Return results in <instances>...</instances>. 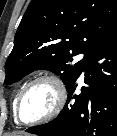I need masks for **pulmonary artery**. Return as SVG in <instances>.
Segmentation results:
<instances>
[{
    "instance_id": "pulmonary-artery-1",
    "label": "pulmonary artery",
    "mask_w": 117,
    "mask_h": 136,
    "mask_svg": "<svg viewBox=\"0 0 117 136\" xmlns=\"http://www.w3.org/2000/svg\"><path fill=\"white\" fill-rule=\"evenodd\" d=\"M83 57H84V55L81 54V55L78 56V59H83Z\"/></svg>"
}]
</instances>
